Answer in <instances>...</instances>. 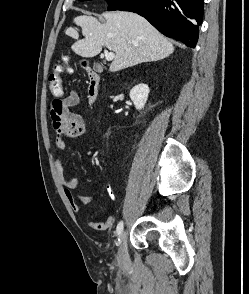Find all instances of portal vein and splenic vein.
<instances>
[{
  "label": "portal vein and splenic vein",
  "mask_w": 249,
  "mask_h": 294,
  "mask_svg": "<svg viewBox=\"0 0 249 294\" xmlns=\"http://www.w3.org/2000/svg\"><path fill=\"white\" fill-rule=\"evenodd\" d=\"M115 58V54L113 52L105 51V59L107 61H112Z\"/></svg>",
  "instance_id": "obj_1"
}]
</instances>
